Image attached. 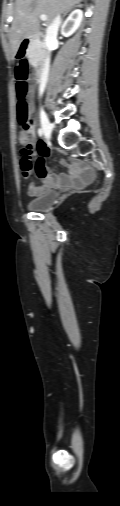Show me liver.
Returning <instances> with one entry per match:
<instances>
[{
    "mask_svg": "<svg viewBox=\"0 0 120 506\" xmlns=\"http://www.w3.org/2000/svg\"><path fill=\"white\" fill-rule=\"evenodd\" d=\"M82 0H16L12 26L9 32L12 55L15 56L22 41L39 28L41 15L51 24L56 15L65 13Z\"/></svg>",
    "mask_w": 120,
    "mask_h": 506,
    "instance_id": "1",
    "label": "liver"
}]
</instances>
